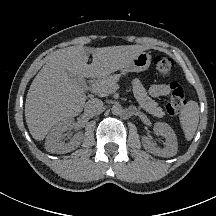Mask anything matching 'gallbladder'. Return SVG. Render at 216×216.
Instances as JSON below:
<instances>
[{"label":"gallbladder","mask_w":216,"mask_h":216,"mask_svg":"<svg viewBox=\"0 0 216 216\" xmlns=\"http://www.w3.org/2000/svg\"><path fill=\"white\" fill-rule=\"evenodd\" d=\"M68 76L72 81L77 82V83H82L81 82L82 80L78 76H76L70 72L68 73Z\"/></svg>","instance_id":"gallbladder-1"}]
</instances>
